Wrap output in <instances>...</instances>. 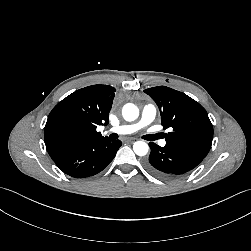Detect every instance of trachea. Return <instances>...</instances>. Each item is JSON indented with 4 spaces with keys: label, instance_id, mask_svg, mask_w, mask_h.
I'll list each match as a JSON object with an SVG mask.
<instances>
[{
    "label": "trachea",
    "instance_id": "1",
    "mask_svg": "<svg viewBox=\"0 0 251 251\" xmlns=\"http://www.w3.org/2000/svg\"><path fill=\"white\" fill-rule=\"evenodd\" d=\"M147 137L149 140H155L158 138V135H148Z\"/></svg>",
    "mask_w": 251,
    "mask_h": 251
}]
</instances>
